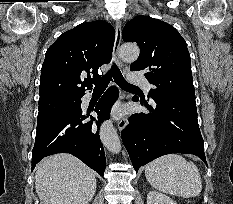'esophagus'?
I'll use <instances>...</instances> for the list:
<instances>
[{
	"instance_id": "34e87169",
	"label": "esophagus",
	"mask_w": 233,
	"mask_h": 204,
	"mask_svg": "<svg viewBox=\"0 0 233 204\" xmlns=\"http://www.w3.org/2000/svg\"><path fill=\"white\" fill-rule=\"evenodd\" d=\"M121 23L119 21H116L115 23V41H114V57L115 60L120 68H124V63L120 58L119 50H120V44H121ZM128 124V118L126 116H121L117 119V127L121 131L123 130Z\"/></svg>"
}]
</instances>
